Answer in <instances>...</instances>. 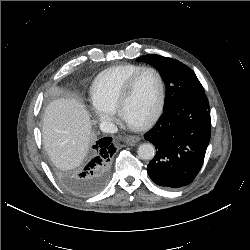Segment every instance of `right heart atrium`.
Returning a JSON list of instances; mask_svg holds the SVG:
<instances>
[{"instance_id":"d8ad5b80","label":"right heart atrium","mask_w":250,"mask_h":250,"mask_svg":"<svg viewBox=\"0 0 250 250\" xmlns=\"http://www.w3.org/2000/svg\"><path fill=\"white\" fill-rule=\"evenodd\" d=\"M92 110L98 121H100L101 123H105V124L110 123L112 119L111 110L105 109L94 102H93Z\"/></svg>"}]
</instances>
